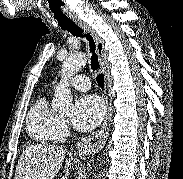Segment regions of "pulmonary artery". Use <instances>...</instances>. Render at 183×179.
<instances>
[{
  "instance_id": "1",
  "label": "pulmonary artery",
  "mask_w": 183,
  "mask_h": 179,
  "mask_svg": "<svg viewBox=\"0 0 183 179\" xmlns=\"http://www.w3.org/2000/svg\"><path fill=\"white\" fill-rule=\"evenodd\" d=\"M70 85L77 90L87 91L90 89V80L87 76L81 74L72 78Z\"/></svg>"
}]
</instances>
